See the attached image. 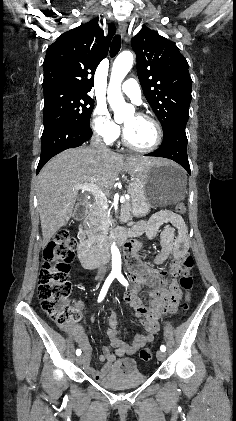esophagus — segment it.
<instances>
[{
  "label": "esophagus",
  "instance_id": "obj_1",
  "mask_svg": "<svg viewBox=\"0 0 236 421\" xmlns=\"http://www.w3.org/2000/svg\"><path fill=\"white\" fill-rule=\"evenodd\" d=\"M119 31L120 34L122 36V38H124L126 31H127V23L125 21H122L119 23Z\"/></svg>",
  "mask_w": 236,
  "mask_h": 421
}]
</instances>
